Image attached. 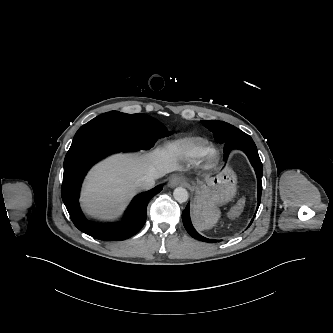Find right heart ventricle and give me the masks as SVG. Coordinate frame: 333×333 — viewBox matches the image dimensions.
Segmentation results:
<instances>
[{
  "label": "right heart ventricle",
  "instance_id": "e07e8e85",
  "mask_svg": "<svg viewBox=\"0 0 333 333\" xmlns=\"http://www.w3.org/2000/svg\"><path fill=\"white\" fill-rule=\"evenodd\" d=\"M205 146L206 140L203 138L189 137L172 143L169 148L174 154L184 159L191 160L199 157Z\"/></svg>",
  "mask_w": 333,
  "mask_h": 333
}]
</instances>
